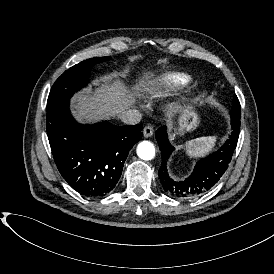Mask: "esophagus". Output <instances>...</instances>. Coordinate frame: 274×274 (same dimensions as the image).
I'll return each mask as SVG.
<instances>
[{
	"label": "esophagus",
	"mask_w": 274,
	"mask_h": 274,
	"mask_svg": "<svg viewBox=\"0 0 274 274\" xmlns=\"http://www.w3.org/2000/svg\"><path fill=\"white\" fill-rule=\"evenodd\" d=\"M154 133V129L151 125H147L143 129V135L145 138L151 137Z\"/></svg>",
	"instance_id": "obj_1"
}]
</instances>
